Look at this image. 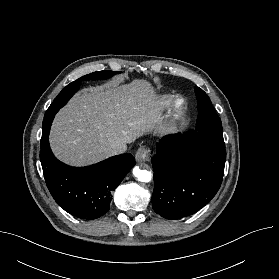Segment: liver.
Instances as JSON below:
<instances>
[{
  "label": "liver",
  "instance_id": "liver-1",
  "mask_svg": "<svg viewBox=\"0 0 279 279\" xmlns=\"http://www.w3.org/2000/svg\"><path fill=\"white\" fill-rule=\"evenodd\" d=\"M154 92L145 80L85 88L62 108L51 126L55 156L71 166H86L111 155L113 144H128L164 127L153 113Z\"/></svg>",
  "mask_w": 279,
  "mask_h": 279
}]
</instances>
